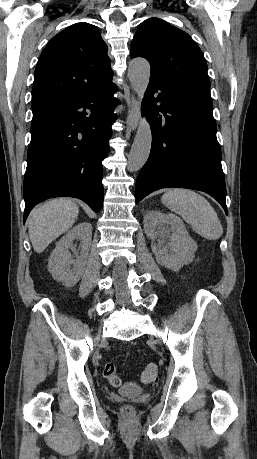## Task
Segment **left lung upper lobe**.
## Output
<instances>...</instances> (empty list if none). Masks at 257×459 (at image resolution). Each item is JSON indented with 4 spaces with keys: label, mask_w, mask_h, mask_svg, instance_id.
<instances>
[{
    "label": "left lung upper lobe",
    "mask_w": 257,
    "mask_h": 459,
    "mask_svg": "<svg viewBox=\"0 0 257 459\" xmlns=\"http://www.w3.org/2000/svg\"><path fill=\"white\" fill-rule=\"evenodd\" d=\"M130 50V57H144L149 61L150 80L210 86L201 49L187 33L164 20L150 18L142 22Z\"/></svg>",
    "instance_id": "1"
}]
</instances>
